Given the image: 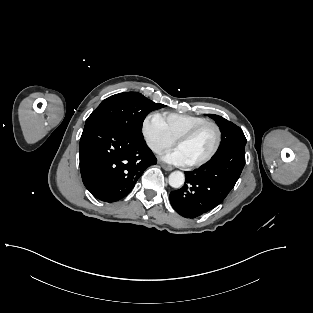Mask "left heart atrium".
<instances>
[{
  "label": "left heart atrium",
  "instance_id": "obj_1",
  "mask_svg": "<svg viewBox=\"0 0 313 313\" xmlns=\"http://www.w3.org/2000/svg\"><path fill=\"white\" fill-rule=\"evenodd\" d=\"M161 158L174 165L185 166L190 164L184 152L178 147L163 153Z\"/></svg>",
  "mask_w": 313,
  "mask_h": 313
}]
</instances>
